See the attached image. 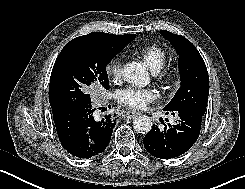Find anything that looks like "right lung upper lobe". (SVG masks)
I'll return each instance as SVG.
<instances>
[{"instance_id": "cb5924a9", "label": "right lung upper lobe", "mask_w": 245, "mask_h": 189, "mask_svg": "<svg viewBox=\"0 0 245 189\" xmlns=\"http://www.w3.org/2000/svg\"><path fill=\"white\" fill-rule=\"evenodd\" d=\"M134 38V34L112 35L103 32H93L75 39L91 41L106 49L120 52Z\"/></svg>"}]
</instances>
